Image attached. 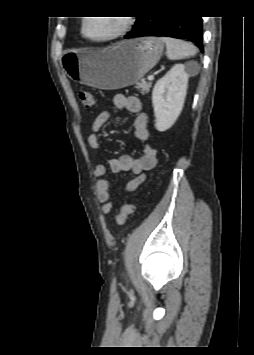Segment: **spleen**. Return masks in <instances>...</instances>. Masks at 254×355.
Here are the masks:
<instances>
[{"mask_svg": "<svg viewBox=\"0 0 254 355\" xmlns=\"http://www.w3.org/2000/svg\"><path fill=\"white\" fill-rule=\"evenodd\" d=\"M161 40L166 44L170 60L190 58L197 54V48L191 43L169 37H162Z\"/></svg>", "mask_w": 254, "mask_h": 355, "instance_id": "3e777b00", "label": "spleen"}]
</instances>
